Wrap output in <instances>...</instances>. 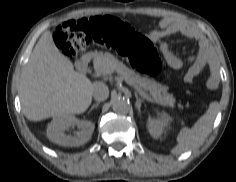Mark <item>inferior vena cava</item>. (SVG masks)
<instances>
[{
  "label": "inferior vena cava",
  "mask_w": 236,
  "mask_h": 182,
  "mask_svg": "<svg viewBox=\"0 0 236 182\" xmlns=\"http://www.w3.org/2000/svg\"><path fill=\"white\" fill-rule=\"evenodd\" d=\"M93 97L97 101H104L109 97V89L103 82L93 83Z\"/></svg>",
  "instance_id": "602c4592"
}]
</instances>
